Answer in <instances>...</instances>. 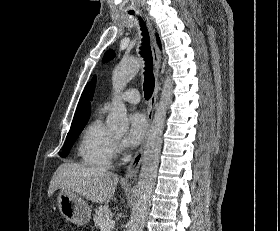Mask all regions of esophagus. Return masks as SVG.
<instances>
[{
	"label": "esophagus",
	"instance_id": "34e87169",
	"mask_svg": "<svg viewBox=\"0 0 280 231\" xmlns=\"http://www.w3.org/2000/svg\"><path fill=\"white\" fill-rule=\"evenodd\" d=\"M145 18L150 33V42H151V50H152L153 65H154V76H155V88L148 105V113H147L148 130H149L151 126L153 114L157 106L156 100H157L158 92L160 90V82L158 79V74L161 67V52L156 42V29L152 23L151 17L146 12H145ZM145 145H146V136L126 170L124 181L132 180L137 176V173L139 171L143 159Z\"/></svg>",
	"mask_w": 280,
	"mask_h": 231
}]
</instances>
